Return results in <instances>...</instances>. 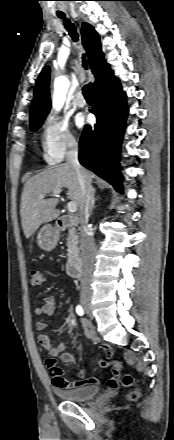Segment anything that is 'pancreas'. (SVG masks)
<instances>
[{
    "mask_svg": "<svg viewBox=\"0 0 174 440\" xmlns=\"http://www.w3.org/2000/svg\"><path fill=\"white\" fill-rule=\"evenodd\" d=\"M77 244H78V235L76 233V229L74 227H72L68 230V237H67V247H68V258L69 259L78 256L79 249L77 247Z\"/></svg>",
    "mask_w": 174,
    "mask_h": 440,
    "instance_id": "pancreas-1",
    "label": "pancreas"
}]
</instances>
